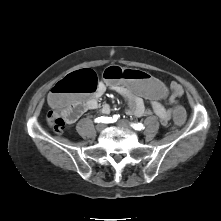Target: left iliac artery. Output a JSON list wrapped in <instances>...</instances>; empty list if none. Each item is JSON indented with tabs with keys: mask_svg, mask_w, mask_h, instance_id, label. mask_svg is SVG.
Listing matches in <instances>:
<instances>
[{
	"mask_svg": "<svg viewBox=\"0 0 221 221\" xmlns=\"http://www.w3.org/2000/svg\"><path fill=\"white\" fill-rule=\"evenodd\" d=\"M131 126L135 129V130H143L144 129V126L142 123H131Z\"/></svg>",
	"mask_w": 221,
	"mask_h": 221,
	"instance_id": "1",
	"label": "left iliac artery"
}]
</instances>
